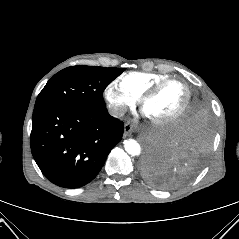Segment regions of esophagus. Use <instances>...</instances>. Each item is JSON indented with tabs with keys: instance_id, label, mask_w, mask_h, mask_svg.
I'll return each mask as SVG.
<instances>
[{
	"instance_id": "obj_1",
	"label": "esophagus",
	"mask_w": 239,
	"mask_h": 239,
	"mask_svg": "<svg viewBox=\"0 0 239 239\" xmlns=\"http://www.w3.org/2000/svg\"><path fill=\"white\" fill-rule=\"evenodd\" d=\"M133 131V126L130 123H126L124 126V134L128 136Z\"/></svg>"
}]
</instances>
